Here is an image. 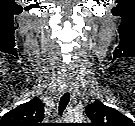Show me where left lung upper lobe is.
Masks as SVG:
<instances>
[{"mask_svg": "<svg viewBox=\"0 0 135 126\" xmlns=\"http://www.w3.org/2000/svg\"><path fill=\"white\" fill-rule=\"evenodd\" d=\"M85 112L92 121L91 126H132L133 124L128 117L99 100L89 104Z\"/></svg>", "mask_w": 135, "mask_h": 126, "instance_id": "left-lung-upper-lobe-1", "label": "left lung upper lobe"}]
</instances>
